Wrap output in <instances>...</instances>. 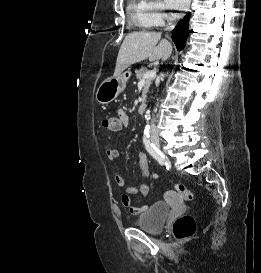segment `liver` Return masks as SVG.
<instances>
[{
	"label": "liver",
	"instance_id": "liver-1",
	"mask_svg": "<svg viewBox=\"0 0 261 273\" xmlns=\"http://www.w3.org/2000/svg\"><path fill=\"white\" fill-rule=\"evenodd\" d=\"M160 39L161 33L159 32H135L128 34L118 53L114 77L119 76L132 64L146 59L152 62L160 59L165 60L169 57L172 53V45L168 40Z\"/></svg>",
	"mask_w": 261,
	"mask_h": 273
}]
</instances>
